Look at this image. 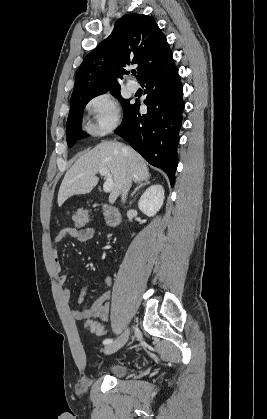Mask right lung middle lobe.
Segmentation results:
<instances>
[{"instance_id":"1","label":"right lung middle lobe","mask_w":267,"mask_h":419,"mask_svg":"<svg viewBox=\"0 0 267 419\" xmlns=\"http://www.w3.org/2000/svg\"><path fill=\"white\" fill-rule=\"evenodd\" d=\"M106 92L100 93L104 94ZM112 95L117 97L123 106L124 113L130 107V103L128 100L123 99L120 95V89L111 91ZM90 95L85 96L80 99L71 100L70 102V112L67 121L66 127V139L69 147H72L77 139L84 138L86 134L81 130V122L83 117V110L86 104L94 97L100 95Z\"/></svg>"}]
</instances>
